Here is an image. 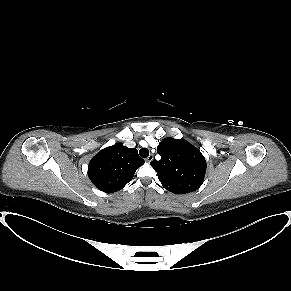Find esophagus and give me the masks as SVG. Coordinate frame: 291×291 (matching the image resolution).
Wrapping results in <instances>:
<instances>
[{
	"label": "esophagus",
	"mask_w": 291,
	"mask_h": 291,
	"mask_svg": "<svg viewBox=\"0 0 291 291\" xmlns=\"http://www.w3.org/2000/svg\"><path fill=\"white\" fill-rule=\"evenodd\" d=\"M154 159V156L152 154H150L146 159L145 161L150 163L152 160Z\"/></svg>",
	"instance_id": "1"
}]
</instances>
